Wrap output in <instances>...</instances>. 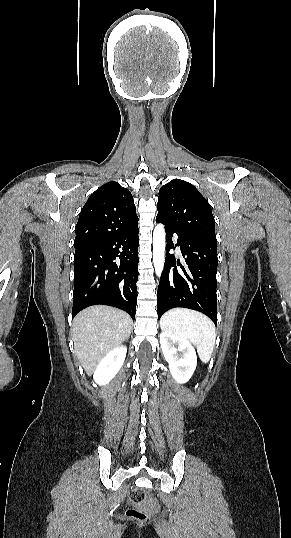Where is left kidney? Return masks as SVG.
Wrapping results in <instances>:
<instances>
[{
  "label": "left kidney",
  "instance_id": "1",
  "mask_svg": "<svg viewBox=\"0 0 291 538\" xmlns=\"http://www.w3.org/2000/svg\"><path fill=\"white\" fill-rule=\"evenodd\" d=\"M160 344L171 375L178 383H186L197 365L194 347L187 339L169 332L160 334Z\"/></svg>",
  "mask_w": 291,
  "mask_h": 538
}]
</instances>
